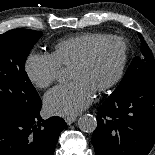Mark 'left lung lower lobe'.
Instances as JSON below:
<instances>
[{
    "mask_svg": "<svg viewBox=\"0 0 155 155\" xmlns=\"http://www.w3.org/2000/svg\"><path fill=\"white\" fill-rule=\"evenodd\" d=\"M97 115V155H147L155 143V78L114 92Z\"/></svg>",
    "mask_w": 155,
    "mask_h": 155,
    "instance_id": "0a47b994",
    "label": "left lung lower lobe"
}]
</instances>
